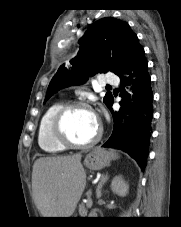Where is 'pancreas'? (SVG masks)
I'll return each mask as SVG.
<instances>
[{
    "label": "pancreas",
    "instance_id": "cf45deb5",
    "mask_svg": "<svg viewBox=\"0 0 181 227\" xmlns=\"http://www.w3.org/2000/svg\"><path fill=\"white\" fill-rule=\"evenodd\" d=\"M87 204H81L79 206V214H80V217H87V213H88V210H87Z\"/></svg>",
    "mask_w": 181,
    "mask_h": 227
}]
</instances>
